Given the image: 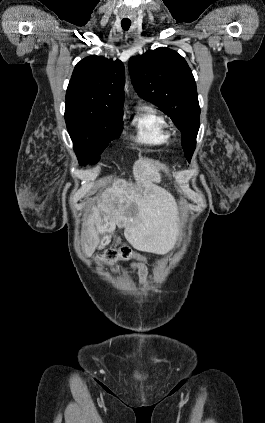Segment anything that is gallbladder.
I'll return each instance as SVG.
<instances>
[{"instance_id":"1","label":"gallbladder","mask_w":265,"mask_h":423,"mask_svg":"<svg viewBox=\"0 0 265 423\" xmlns=\"http://www.w3.org/2000/svg\"><path fill=\"white\" fill-rule=\"evenodd\" d=\"M110 240H111V236L109 235V236H106L105 238H104V240L101 242V247L102 248H104L105 246H107L109 243H110Z\"/></svg>"}]
</instances>
